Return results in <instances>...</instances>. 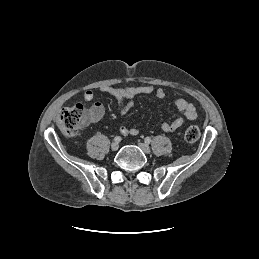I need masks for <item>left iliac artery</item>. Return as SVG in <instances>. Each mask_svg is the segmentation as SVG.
<instances>
[{
    "instance_id": "44dca946",
    "label": "left iliac artery",
    "mask_w": 259,
    "mask_h": 259,
    "mask_svg": "<svg viewBox=\"0 0 259 259\" xmlns=\"http://www.w3.org/2000/svg\"><path fill=\"white\" fill-rule=\"evenodd\" d=\"M151 142V138L150 137H146L145 138V143L149 144Z\"/></svg>"
}]
</instances>
